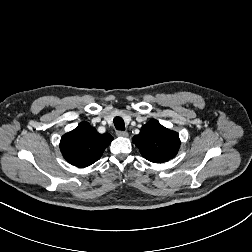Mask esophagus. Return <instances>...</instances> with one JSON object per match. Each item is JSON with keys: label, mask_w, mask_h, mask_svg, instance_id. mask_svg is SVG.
Instances as JSON below:
<instances>
[{"label": "esophagus", "mask_w": 252, "mask_h": 252, "mask_svg": "<svg viewBox=\"0 0 252 252\" xmlns=\"http://www.w3.org/2000/svg\"><path fill=\"white\" fill-rule=\"evenodd\" d=\"M116 135L119 137H128V132L126 131H116Z\"/></svg>", "instance_id": "1"}]
</instances>
